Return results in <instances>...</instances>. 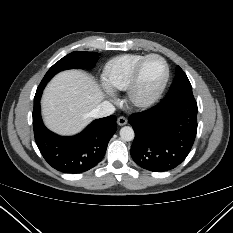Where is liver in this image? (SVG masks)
<instances>
[{"label": "liver", "instance_id": "liver-1", "mask_svg": "<svg viewBox=\"0 0 233 233\" xmlns=\"http://www.w3.org/2000/svg\"><path fill=\"white\" fill-rule=\"evenodd\" d=\"M103 98L98 83L87 73L81 70L60 72L43 93L44 123L59 135L77 134L91 122L90 112Z\"/></svg>", "mask_w": 233, "mask_h": 233}]
</instances>
